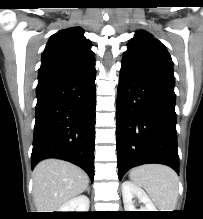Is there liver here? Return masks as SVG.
I'll return each mask as SVG.
<instances>
[{
  "mask_svg": "<svg viewBox=\"0 0 203 219\" xmlns=\"http://www.w3.org/2000/svg\"><path fill=\"white\" fill-rule=\"evenodd\" d=\"M89 177L78 166L59 159H46L33 170V196L37 212H58L72 198L83 193Z\"/></svg>",
  "mask_w": 203,
  "mask_h": 219,
  "instance_id": "liver-1",
  "label": "liver"
}]
</instances>
